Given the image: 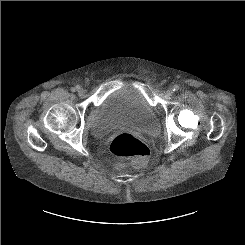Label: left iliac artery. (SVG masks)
<instances>
[{
  "instance_id": "44dca946",
  "label": "left iliac artery",
  "mask_w": 245,
  "mask_h": 245,
  "mask_svg": "<svg viewBox=\"0 0 245 245\" xmlns=\"http://www.w3.org/2000/svg\"><path fill=\"white\" fill-rule=\"evenodd\" d=\"M179 90V86H177V85H175L174 87H173V91H178Z\"/></svg>"
}]
</instances>
